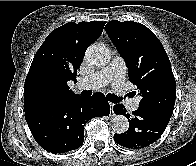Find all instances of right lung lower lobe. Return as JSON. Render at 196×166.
Wrapping results in <instances>:
<instances>
[{"instance_id":"obj_1","label":"right lung lower lobe","mask_w":196,"mask_h":166,"mask_svg":"<svg viewBox=\"0 0 196 166\" xmlns=\"http://www.w3.org/2000/svg\"><path fill=\"white\" fill-rule=\"evenodd\" d=\"M110 106L101 93L76 95L43 109L25 113L36 142L51 153H65L83 144L84 125L93 117L109 115Z\"/></svg>"}]
</instances>
